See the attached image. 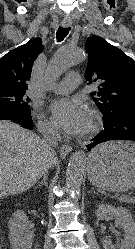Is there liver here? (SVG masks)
<instances>
[{"label": "liver", "mask_w": 135, "mask_h": 249, "mask_svg": "<svg viewBox=\"0 0 135 249\" xmlns=\"http://www.w3.org/2000/svg\"><path fill=\"white\" fill-rule=\"evenodd\" d=\"M56 155L42 139L8 120H0V198L20 194L45 174Z\"/></svg>", "instance_id": "liver-1"}]
</instances>
